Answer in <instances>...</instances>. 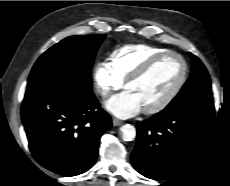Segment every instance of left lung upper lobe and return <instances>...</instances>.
<instances>
[{
    "label": "left lung upper lobe",
    "instance_id": "obj_1",
    "mask_svg": "<svg viewBox=\"0 0 230 186\" xmlns=\"http://www.w3.org/2000/svg\"><path fill=\"white\" fill-rule=\"evenodd\" d=\"M191 76L179 94L167 107H176L185 102L212 97L211 81L203 63L193 54Z\"/></svg>",
    "mask_w": 230,
    "mask_h": 186
}]
</instances>
